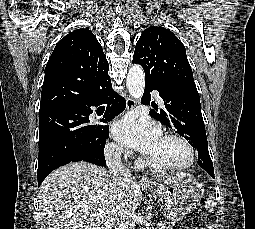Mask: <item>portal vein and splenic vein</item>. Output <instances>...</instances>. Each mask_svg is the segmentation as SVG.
<instances>
[{
    "label": "portal vein and splenic vein",
    "mask_w": 255,
    "mask_h": 229,
    "mask_svg": "<svg viewBox=\"0 0 255 229\" xmlns=\"http://www.w3.org/2000/svg\"><path fill=\"white\" fill-rule=\"evenodd\" d=\"M161 225H162V222H159V223H158V226H161Z\"/></svg>",
    "instance_id": "18ae733b"
}]
</instances>
